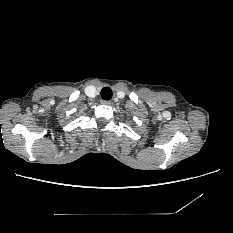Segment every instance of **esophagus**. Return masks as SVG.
<instances>
[{"mask_svg": "<svg viewBox=\"0 0 233 233\" xmlns=\"http://www.w3.org/2000/svg\"><path fill=\"white\" fill-rule=\"evenodd\" d=\"M101 104L110 105L111 101H109V100H101Z\"/></svg>", "mask_w": 233, "mask_h": 233, "instance_id": "34e87169", "label": "esophagus"}]
</instances>
